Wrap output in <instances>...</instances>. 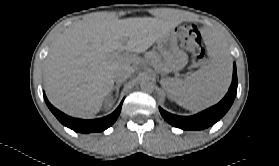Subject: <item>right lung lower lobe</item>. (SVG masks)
Instances as JSON below:
<instances>
[{"mask_svg":"<svg viewBox=\"0 0 279 166\" xmlns=\"http://www.w3.org/2000/svg\"><path fill=\"white\" fill-rule=\"evenodd\" d=\"M44 99L48 108L63 125L67 126L68 128H71L76 132H81V133L99 132L110 127L118 118L123 103L122 101L118 106V108L109 116L99 118V119H94V120H82V119L69 117L64 113L60 112L59 110H57L56 108H54L48 102L47 98L45 97V94H44Z\"/></svg>","mask_w":279,"mask_h":166,"instance_id":"98d812e1","label":"right lung lower lobe"}]
</instances>
